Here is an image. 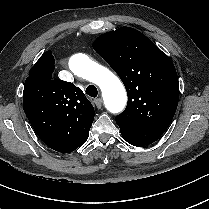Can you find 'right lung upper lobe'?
Returning <instances> with one entry per match:
<instances>
[{
  "label": "right lung upper lobe",
  "instance_id": "obj_1",
  "mask_svg": "<svg viewBox=\"0 0 209 209\" xmlns=\"http://www.w3.org/2000/svg\"><path fill=\"white\" fill-rule=\"evenodd\" d=\"M54 68V57L48 50L29 71L23 108L32 127L52 129L56 141L74 151L89 136L94 108L79 87L54 79Z\"/></svg>",
  "mask_w": 209,
  "mask_h": 209
}]
</instances>
